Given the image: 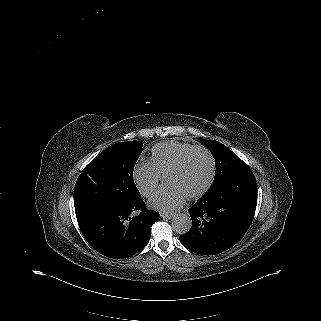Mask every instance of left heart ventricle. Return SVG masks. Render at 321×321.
I'll return each mask as SVG.
<instances>
[{"label":"left heart ventricle","instance_id":"obj_1","mask_svg":"<svg viewBox=\"0 0 321 321\" xmlns=\"http://www.w3.org/2000/svg\"><path fill=\"white\" fill-rule=\"evenodd\" d=\"M210 173V161L207 156L199 154L194 157L191 167L179 179V185L193 189L200 186Z\"/></svg>","mask_w":321,"mask_h":321}]
</instances>
